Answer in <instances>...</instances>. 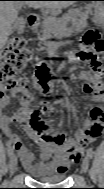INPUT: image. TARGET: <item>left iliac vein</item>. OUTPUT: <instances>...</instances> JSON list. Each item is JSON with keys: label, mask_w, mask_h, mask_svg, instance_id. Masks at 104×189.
Returning a JSON list of instances; mask_svg holds the SVG:
<instances>
[{"label": "left iliac vein", "mask_w": 104, "mask_h": 189, "mask_svg": "<svg viewBox=\"0 0 104 189\" xmlns=\"http://www.w3.org/2000/svg\"><path fill=\"white\" fill-rule=\"evenodd\" d=\"M89 168V159L88 157H84L83 161H82V165H81V170L84 174L87 173Z\"/></svg>", "instance_id": "left-iliac-vein-1"}]
</instances>
